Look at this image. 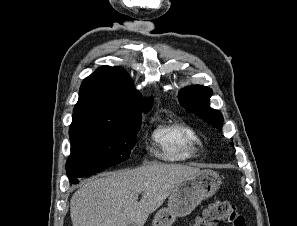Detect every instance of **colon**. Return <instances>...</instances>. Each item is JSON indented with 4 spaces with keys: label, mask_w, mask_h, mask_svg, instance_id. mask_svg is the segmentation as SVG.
I'll return each instance as SVG.
<instances>
[{
    "label": "colon",
    "mask_w": 297,
    "mask_h": 226,
    "mask_svg": "<svg viewBox=\"0 0 297 226\" xmlns=\"http://www.w3.org/2000/svg\"><path fill=\"white\" fill-rule=\"evenodd\" d=\"M245 226V218L231 203L222 200L212 202L193 222L192 226Z\"/></svg>",
    "instance_id": "1"
}]
</instances>
